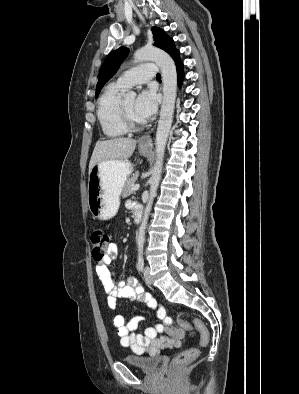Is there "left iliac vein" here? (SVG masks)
<instances>
[{"instance_id":"obj_1","label":"left iliac vein","mask_w":299,"mask_h":394,"mask_svg":"<svg viewBox=\"0 0 299 394\" xmlns=\"http://www.w3.org/2000/svg\"><path fill=\"white\" fill-rule=\"evenodd\" d=\"M144 279H145L147 284H149V285L152 284V278H151V275H150V268L148 266H146L144 268Z\"/></svg>"}]
</instances>
